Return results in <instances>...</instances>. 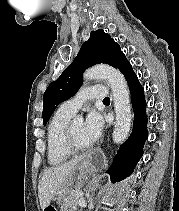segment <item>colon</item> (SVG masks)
<instances>
[{
    "label": "colon",
    "mask_w": 179,
    "mask_h": 211,
    "mask_svg": "<svg viewBox=\"0 0 179 211\" xmlns=\"http://www.w3.org/2000/svg\"><path fill=\"white\" fill-rule=\"evenodd\" d=\"M44 211H56V209L53 206H47Z\"/></svg>",
    "instance_id": "obj_1"
}]
</instances>
